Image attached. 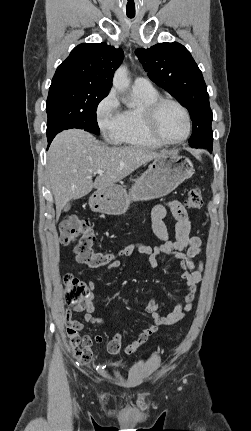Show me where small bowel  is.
Wrapping results in <instances>:
<instances>
[{"label":"small bowel","mask_w":251,"mask_h":431,"mask_svg":"<svg viewBox=\"0 0 251 431\" xmlns=\"http://www.w3.org/2000/svg\"><path fill=\"white\" fill-rule=\"evenodd\" d=\"M169 210L176 220L175 238H169L167 226L164 218ZM152 229L156 237L162 241L161 245L150 247L143 245H129L118 251L119 256H129L134 251L145 254L148 257V263L151 268L158 266L157 259L159 257L167 258L174 257L181 268V278L188 286V292L183 300L178 303L174 310L168 314H162L159 311V305L156 300L151 299L146 305V311L152 317V323L143 329L139 335L127 343L124 347L126 354L134 353L148 338L153 335L161 326L174 324L183 319L191 310L195 298L198 284L203 278V263L200 261L197 265L194 259L202 251V240L200 237L191 236V223L184 206L176 200L158 204L152 209ZM122 263L119 260L111 262L107 266V270L121 267ZM83 274L82 271L79 272ZM89 292L86 296L85 303L81 307L74 306L73 309L67 310L65 314V325L67 334L74 346V359L78 362L80 369H87L94 357V352L91 350L93 340L97 343H103L104 337L95 335L93 339L89 335H81L80 332L84 328V323L89 325L103 324L104 320L95 315V283L90 280L88 282ZM84 311V323L74 319L72 312ZM122 348V335L116 333L107 343V350L111 354H118Z\"/></svg>","instance_id":"small-bowel-1"}]
</instances>
